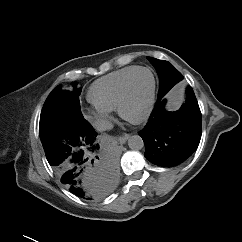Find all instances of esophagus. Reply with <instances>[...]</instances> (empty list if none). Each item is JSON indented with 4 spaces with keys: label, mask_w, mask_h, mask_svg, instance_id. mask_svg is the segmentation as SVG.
<instances>
[{
    "label": "esophagus",
    "mask_w": 242,
    "mask_h": 242,
    "mask_svg": "<svg viewBox=\"0 0 242 242\" xmlns=\"http://www.w3.org/2000/svg\"><path fill=\"white\" fill-rule=\"evenodd\" d=\"M129 137H130L129 134H124L118 138V141L120 142V144H124L126 143Z\"/></svg>",
    "instance_id": "esophagus-1"
}]
</instances>
